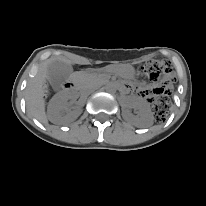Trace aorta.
Returning a JSON list of instances; mask_svg holds the SVG:
<instances>
[{
    "label": "aorta",
    "mask_w": 206,
    "mask_h": 206,
    "mask_svg": "<svg viewBox=\"0 0 206 206\" xmlns=\"http://www.w3.org/2000/svg\"><path fill=\"white\" fill-rule=\"evenodd\" d=\"M106 91L109 93H115L116 92V86L114 84H107L105 87Z\"/></svg>",
    "instance_id": "aorta-1"
}]
</instances>
